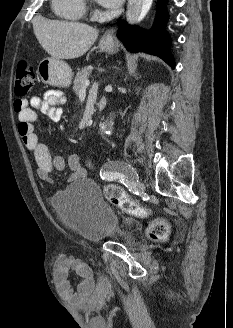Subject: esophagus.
<instances>
[{
  "label": "esophagus",
  "instance_id": "1",
  "mask_svg": "<svg viewBox=\"0 0 233 328\" xmlns=\"http://www.w3.org/2000/svg\"><path fill=\"white\" fill-rule=\"evenodd\" d=\"M113 35H114V29H109V30H107V31L105 32V34H104V36H105L106 38H110V39L113 38Z\"/></svg>",
  "mask_w": 233,
  "mask_h": 328
}]
</instances>
